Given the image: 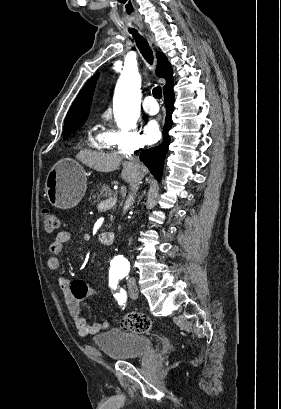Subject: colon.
I'll list each match as a JSON object with an SVG mask.
<instances>
[{
  "label": "colon",
  "mask_w": 281,
  "mask_h": 409,
  "mask_svg": "<svg viewBox=\"0 0 281 409\" xmlns=\"http://www.w3.org/2000/svg\"><path fill=\"white\" fill-rule=\"evenodd\" d=\"M42 221L47 232H56L60 229L56 213L49 207L42 208ZM122 329L132 332H147L151 327L149 318L140 313H129L120 320Z\"/></svg>",
  "instance_id": "1"
}]
</instances>
